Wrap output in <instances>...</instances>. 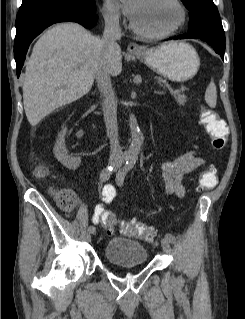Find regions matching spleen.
<instances>
[{
    "label": "spleen",
    "mask_w": 245,
    "mask_h": 319,
    "mask_svg": "<svg viewBox=\"0 0 245 319\" xmlns=\"http://www.w3.org/2000/svg\"><path fill=\"white\" fill-rule=\"evenodd\" d=\"M205 101L206 103L214 108L217 103V91H216V85L213 80L209 83L206 93H205Z\"/></svg>",
    "instance_id": "spleen-1"
}]
</instances>
